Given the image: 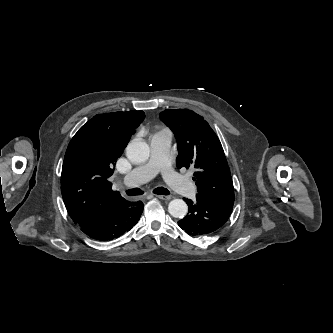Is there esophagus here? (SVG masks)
Returning <instances> with one entry per match:
<instances>
[{"label":"esophagus","mask_w":333,"mask_h":333,"mask_svg":"<svg viewBox=\"0 0 333 333\" xmlns=\"http://www.w3.org/2000/svg\"><path fill=\"white\" fill-rule=\"evenodd\" d=\"M157 198L161 200H170L171 196H165V195H155Z\"/></svg>","instance_id":"esophagus-1"}]
</instances>
